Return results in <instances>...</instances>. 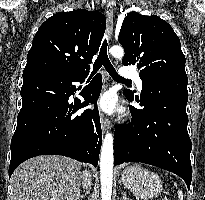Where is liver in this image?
Wrapping results in <instances>:
<instances>
[{
    "mask_svg": "<svg viewBox=\"0 0 205 200\" xmlns=\"http://www.w3.org/2000/svg\"><path fill=\"white\" fill-rule=\"evenodd\" d=\"M13 200H78L81 163L58 155L23 162L12 174Z\"/></svg>",
    "mask_w": 205,
    "mask_h": 200,
    "instance_id": "1",
    "label": "liver"
}]
</instances>
